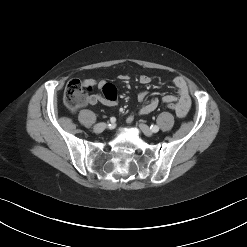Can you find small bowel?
Wrapping results in <instances>:
<instances>
[{"label":"small bowel","instance_id":"obj_1","mask_svg":"<svg viewBox=\"0 0 247 247\" xmlns=\"http://www.w3.org/2000/svg\"><path fill=\"white\" fill-rule=\"evenodd\" d=\"M121 80L128 79L127 76L121 75L119 77ZM141 84H148L151 82V78L147 75H142L139 78ZM173 83L177 89V96L175 95H165L162 100L164 103L174 102L177 105L176 115L180 118H183L187 115L190 106L191 98L189 94V88L187 82L183 77L177 76L174 78ZM83 85L88 89L98 88L101 91V94H90L87 96L86 102L90 106H94L98 103L109 107H115L117 104V89L116 87L105 81V80H94V79H85L83 80ZM147 96L146 91H141L138 94V101L141 103L138 113L140 115H147L153 112L157 106L158 101L156 99H151L145 101ZM133 115L128 117V122H132Z\"/></svg>","mask_w":247,"mask_h":247}]
</instances>
